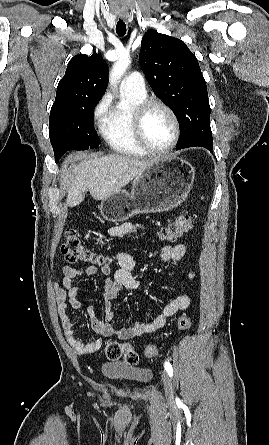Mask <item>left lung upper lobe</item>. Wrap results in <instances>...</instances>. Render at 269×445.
<instances>
[{"mask_svg": "<svg viewBox=\"0 0 269 445\" xmlns=\"http://www.w3.org/2000/svg\"><path fill=\"white\" fill-rule=\"evenodd\" d=\"M139 63L154 93L178 119L181 136L177 150L201 146L212 151L207 86L187 45L150 29L142 38Z\"/></svg>", "mask_w": 269, "mask_h": 445, "instance_id": "5c2ea615", "label": "left lung upper lobe"}]
</instances>
